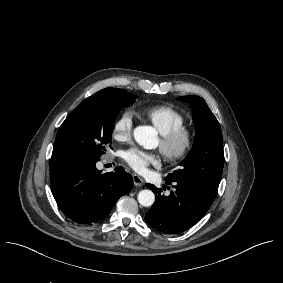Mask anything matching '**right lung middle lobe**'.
<instances>
[{"label": "right lung middle lobe", "instance_id": "obj_1", "mask_svg": "<svg viewBox=\"0 0 283 283\" xmlns=\"http://www.w3.org/2000/svg\"><path fill=\"white\" fill-rule=\"evenodd\" d=\"M135 95L118 90L84 100L60 126L53 152L63 161L101 157L110 146L119 111L133 104ZM111 148V146H110Z\"/></svg>", "mask_w": 283, "mask_h": 283}]
</instances>
